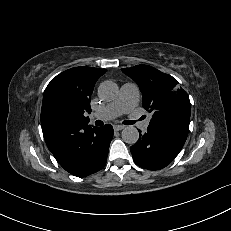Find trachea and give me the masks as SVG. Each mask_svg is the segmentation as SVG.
Listing matches in <instances>:
<instances>
[{
    "label": "trachea",
    "instance_id": "trachea-1",
    "mask_svg": "<svg viewBox=\"0 0 231 231\" xmlns=\"http://www.w3.org/2000/svg\"><path fill=\"white\" fill-rule=\"evenodd\" d=\"M123 123H124L125 125H132V124H134V123H135V121L127 120V121H124ZM95 124H96V125H98V126H100V125H102V124H103V122H102V121L97 120V121L95 122Z\"/></svg>",
    "mask_w": 231,
    "mask_h": 231
}]
</instances>
